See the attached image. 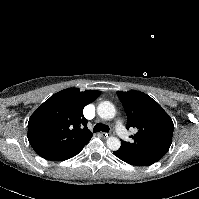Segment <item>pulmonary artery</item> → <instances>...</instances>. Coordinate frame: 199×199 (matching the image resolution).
I'll use <instances>...</instances> for the list:
<instances>
[{
    "label": "pulmonary artery",
    "mask_w": 199,
    "mask_h": 199,
    "mask_svg": "<svg viewBox=\"0 0 199 199\" xmlns=\"http://www.w3.org/2000/svg\"><path fill=\"white\" fill-rule=\"evenodd\" d=\"M115 131L122 139L127 140L129 138V133L121 122L116 123Z\"/></svg>",
    "instance_id": "obj_1"
}]
</instances>
